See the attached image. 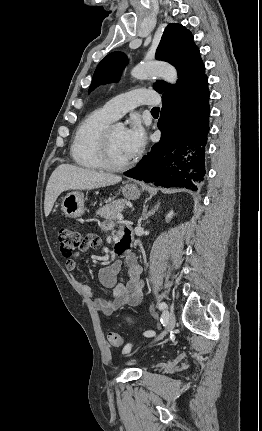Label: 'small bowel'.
Returning <instances> with one entry per match:
<instances>
[{
  "label": "small bowel",
  "mask_w": 262,
  "mask_h": 431,
  "mask_svg": "<svg viewBox=\"0 0 262 431\" xmlns=\"http://www.w3.org/2000/svg\"><path fill=\"white\" fill-rule=\"evenodd\" d=\"M130 235L131 230L129 228L123 227L119 230V236L130 237ZM98 247L99 245L92 247V249H97ZM122 266L126 269L127 281L125 283L118 280ZM65 267L67 270L73 271L76 267L75 259L66 260ZM140 275L141 268L135 253L128 252L123 257V260H116L99 271L100 282L105 287L112 289V298L110 300L98 297L91 287L85 283L77 282L76 285L84 294L94 300L97 310L106 316H110L121 307H134L140 303L143 289Z\"/></svg>",
  "instance_id": "obj_1"
}]
</instances>
